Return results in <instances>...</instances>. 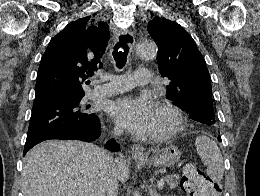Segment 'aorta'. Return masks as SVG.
<instances>
[{
  "label": "aorta",
  "mask_w": 260,
  "mask_h": 196,
  "mask_svg": "<svg viewBox=\"0 0 260 196\" xmlns=\"http://www.w3.org/2000/svg\"><path fill=\"white\" fill-rule=\"evenodd\" d=\"M137 53L146 59L154 58L157 55V46L153 41H142L137 45Z\"/></svg>",
  "instance_id": "1"
}]
</instances>
